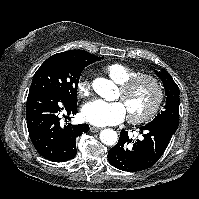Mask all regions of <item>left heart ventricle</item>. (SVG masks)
Masks as SVG:
<instances>
[{"label":"left heart ventricle","mask_w":199,"mask_h":199,"mask_svg":"<svg viewBox=\"0 0 199 199\" xmlns=\"http://www.w3.org/2000/svg\"><path fill=\"white\" fill-rule=\"evenodd\" d=\"M118 98L128 113L139 115L148 110L153 98L154 89L149 82H142L129 93L123 95L119 90Z\"/></svg>","instance_id":"1"}]
</instances>
